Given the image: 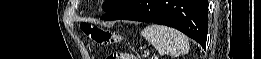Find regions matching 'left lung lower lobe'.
Instances as JSON below:
<instances>
[{
	"label": "left lung lower lobe",
	"mask_w": 261,
	"mask_h": 59,
	"mask_svg": "<svg viewBox=\"0 0 261 59\" xmlns=\"http://www.w3.org/2000/svg\"><path fill=\"white\" fill-rule=\"evenodd\" d=\"M103 20L153 22L176 28L206 46L207 0H123L101 17Z\"/></svg>",
	"instance_id": "0a47b994"
}]
</instances>
